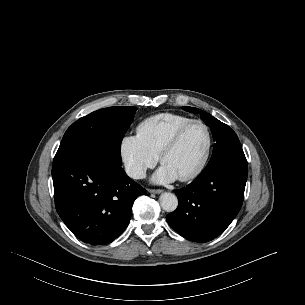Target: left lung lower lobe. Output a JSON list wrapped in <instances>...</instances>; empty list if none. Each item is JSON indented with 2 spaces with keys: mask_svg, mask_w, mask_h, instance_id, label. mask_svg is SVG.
Segmentation results:
<instances>
[{
  "mask_svg": "<svg viewBox=\"0 0 305 305\" xmlns=\"http://www.w3.org/2000/svg\"><path fill=\"white\" fill-rule=\"evenodd\" d=\"M247 176L243 151L229 153L207 164L191 184L174 191L179 205L167 215V222L188 240H213L238 214Z\"/></svg>",
  "mask_w": 305,
  "mask_h": 305,
  "instance_id": "0a47b994",
  "label": "left lung lower lobe"
}]
</instances>
